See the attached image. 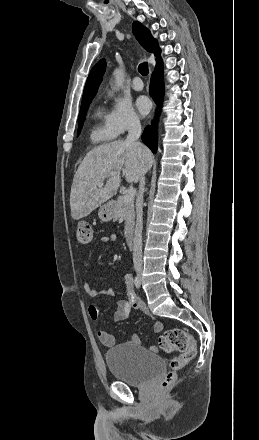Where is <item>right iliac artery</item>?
Masks as SVG:
<instances>
[{"label":"right iliac artery","instance_id":"obj_1","mask_svg":"<svg viewBox=\"0 0 259 440\" xmlns=\"http://www.w3.org/2000/svg\"><path fill=\"white\" fill-rule=\"evenodd\" d=\"M134 284H135V287H136L137 289L140 288V280H139V277H138V276L135 277V279H134Z\"/></svg>","mask_w":259,"mask_h":440}]
</instances>
